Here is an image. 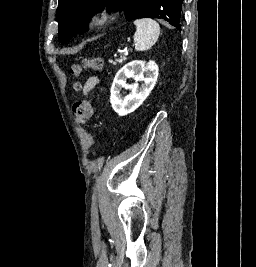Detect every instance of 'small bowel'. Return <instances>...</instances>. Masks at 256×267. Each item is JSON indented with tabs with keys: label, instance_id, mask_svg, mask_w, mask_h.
I'll return each mask as SVG.
<instances>
[{
	"label": "small bowel",
	"instance_id": "c3829d8e",
	"mask_svg": "<svg viewBox=\"0 0 256 267\" xmlns=\"http://www.w3.org/2000/svg\"><path fill=\"white\" fill-rule=\"evenodd\" d=\"M99 83V78L97 76H90L83 87V95H88Z\"/></svg>",
	"mask_w": 256,
	"mask_h": 267
}]
</instances>
